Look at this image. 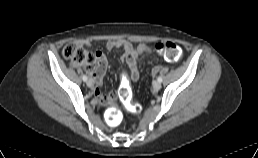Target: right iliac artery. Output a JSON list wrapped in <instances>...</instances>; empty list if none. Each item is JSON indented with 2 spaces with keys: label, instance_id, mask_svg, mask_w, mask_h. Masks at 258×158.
Returning <instances> with one entry per match:
<instances>
[{
  "label": "right iliac artery",
  "instance_id": "1",
  "mask_svg": "<svg viewBox=\"0 0 258 158\" xmlns=\"http://www.w3.org/2000/svg\"><path fill=\"white\" fill-rule=\"evenodd\" d=\"M82 79H83V81H87V76L83 75Z\"/></svg>",
  "mask_w": 258,
  "mask_h": 158
}]
</instances>
